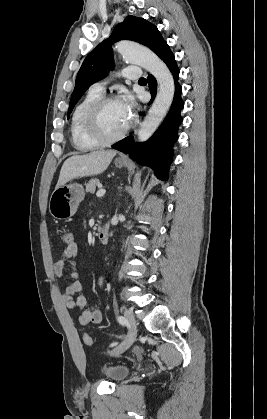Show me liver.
<instances>
[{
    "label": "liver",
    "mask_w": 267,
    "mask_h": 419,
    "mask_svg": "<svg viewBox=\"0 0 267 419\" xmlns=\"http://www.w3.org/2000/svg\"><path fill=\"white\" fill-rule=\"evenodd\" d=\"M116 153L114 150H96L88 154L68 158L62 165L56 188L65 185L74 178L104 172Z\"/></svg>",
    "instance_id": "1"
}]
</instances>
